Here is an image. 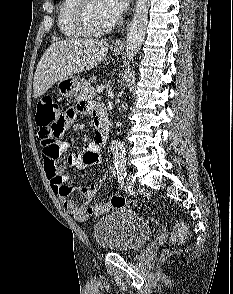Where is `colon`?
I'll return each instance as SVG.
<instances>
[{
	"mask_svg": "<svg viewBox=\"0 0 233 294\" xmlns=\"http://www.w3.org/2000/svg\"><path fill=\"white\" fill-rule=\"evenodd\" d=\"M58 108H60L51 97H43L39 100L37 105V111L35 116L36 125L38 126L40 132H50L47 131V126H50L52 120H57ZM73 108V107H71ZM48 143H52L54 141H50V137H42ZM137 207V203L134 201H129L123 196L114 195L109 202H101L90 208V212L95 215H102L112 209H118L123 207ZM187 235V228L184 224L176 225L171 239L173 243H181L185 240Z\"/></svg>",
	"mask_w": 233,
	"mask_h": 294,
	"instance_id": "obj_1",
	"label": "colon"
}]
</instances>
